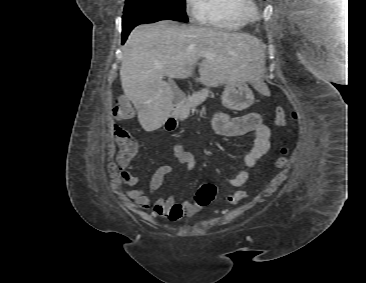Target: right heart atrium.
<instances>
[{
	"instance_id": "d8ad5b80",
	"label": "right heart atrium",
	"mask_w": 366,
	"mask_h": 283,
	"mask_svg": "<svg viewBox=\"0 0 366 283\" xmlns=\"http://www.w3.org/2000/svg\"><path fill=\"white\" fill-rule=\"evenodd\" d=\"M205 0H184L188 13L199 20L202 16Z\"/></svg>"
}]
</instances>
